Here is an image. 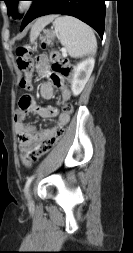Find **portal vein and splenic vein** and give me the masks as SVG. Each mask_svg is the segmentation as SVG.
Returning a JSON list of instances; mask_svg holds the SVG:
<instances>
[{
	"instance_id": "18ae733b",
	"label": "portal vein and splenic vein",
	"mask_w": 133,
	"mask_h": 253,
	"mask_svg": "<svg viewBox=\"0 0 133 253\" xmlns=\"http://www.w3.org/2000/svg\"><path fill=\"white\" fill-rule=\"evenodd\" d=\"M61 51H62V54H63V55H66L67 50H66L65 48H63Z\"/></svg>"
}]
</instances>
